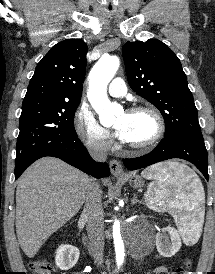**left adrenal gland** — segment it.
<instances>
[{"instance_id":"obj_1","label":"left adrenal gland","mask_w":215,"mask_h":274,"mask_svg":"<svg viewBox=\"0 0 215 274\" xmlns=\"http://www.w3.org/2000/svg\"><path fill=\"white\" fill-rule=\"evenodd\" d=\"M138 202H139V200L137 199L136 194H134V196H133V198H132V200H131V204H132V205H135V204L138 203Z\"/></svg>"}]
</instances>
